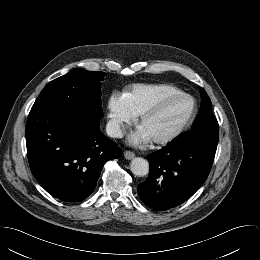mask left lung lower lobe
<instances>
[{"instance_id":"obj_1","label":"left lung lower lobe","mask_w":260,"mask_h":260,"mask_svg":"<svg viewBox=\"0 0 260 260\" xmlns=\"http://www.w3.org/2000/svg\"><path fill=\"white\" fill-rule=\"evenodd\" d=\"M217 146L177 140L148 155L150 173L138 186L148 207L165 211L189 199L206 181Z\"/></svg>"}]
</instances>
